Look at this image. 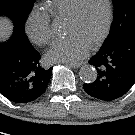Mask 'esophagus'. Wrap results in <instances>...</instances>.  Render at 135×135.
<instances>
[{
	"mask_svg": "<svg viewBox=\"0 0 135 135\" xmlns=\"http://www.w3.org/2000/svg\"><path fill=\"white\" fill-rule=\"evenodd\" d=\"M67 65L72 67V68L77 69L82 65V63H67Z\"/></svg>",
	"mask_w": 135,
	"mask_h": 135,
	"instance_id": "1",
	"label": "esophagus"
}]
</instances>
